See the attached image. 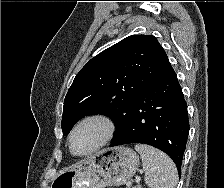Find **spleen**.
Instances as JSON below:
<instances>
[{
    "label": "spleen",
    "mask_w": 224,
    "mask_h": 188,
    "mask_svg": "<svg viewBox=\"0 0 224 188\" xmlns=\"http://www.w3.org/2000/svg\"><path fill=\"white\" fill-rule=\"evenodd\" d=\"M135 149L141 155L145 183L149 188L176 187L178 172L168 155L146 144H136Z\"/></svg>",
    "instance_id": "obj_1"
}]
</instances>
